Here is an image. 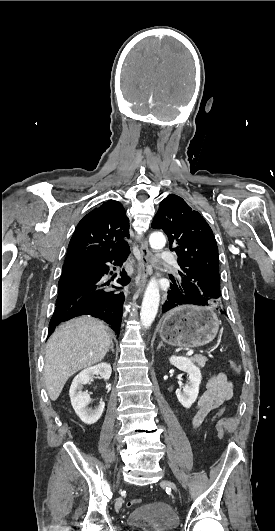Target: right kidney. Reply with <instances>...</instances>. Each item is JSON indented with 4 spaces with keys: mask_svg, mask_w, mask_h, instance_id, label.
Wrapping results in <instances>:
<instances>
[{
    "mask_svg": "<svg viewBox=\"0 0 275 531\" xmlns=\"http://www.w3.org/2000/svg\"><path fill=\"white\" fill-rule=\"evenodd\" d=\"M111 373L112 369L109 363H99V365H95V367L84 369V371H81L79 375L74 377L70 387L69 397L76 415H78L79 419H81L82 423H85V425H93V423H97L104 411L105 403H102L101 401L99 407H96L94 411L87 409V405L91 403V399L90 395L83 393V385H86L89 381H93L94 375H100V377H103V379H106L107 381V379H110Z\"/></svg>",
    "mask_w": 275,
    "mask_h": 531,
    "instance_id": "right-kidney-1",
    "label": "right kidney"
}]
</instances>
